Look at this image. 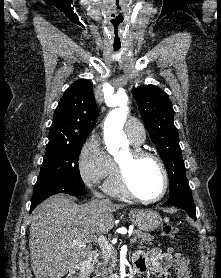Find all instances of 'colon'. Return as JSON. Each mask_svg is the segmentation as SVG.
Wrapping results in <instances>:
<instances>
[{
  "mask_svg": "<svg viewBox=\"0 0 221 278\" xmlns=\"http://www.w3.org/2000/svg\"><path fill=\"white\" fill-rule=\"evenodd\" d=\"M161 234L175 241L179 239L177 229L168 222L162 225ZM175 274L177 278H191L192 273L190 269V263L186 257L179 256L177 258L175 263Z\"/></svg>",
  "mask_w": 221,
  "mask_h": 278,
  "instance_id": "colon-1",
  "label": "colon"
}]
</instances>
